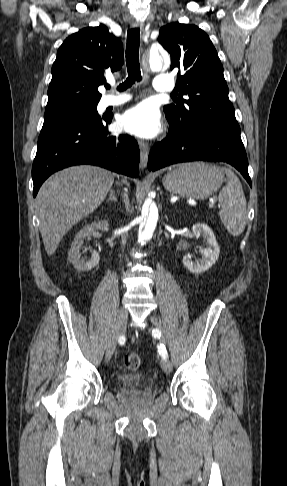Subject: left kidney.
Returning <instances> with one entry per match:
<instances>
[{
  "label": "left kidney",
  "instance_id": "left-kidney-1",
  "mask_svg": "<svg viewBox=\"0 0 287 486\" xmlns=\"http://www.w3.org/2000/svg\"><path fill=\"white\" fill-rule=\"evenodd\" d=\"M196 238L203 237L206 247L200 249L202 259L193 262L191 255H185L182 259L183 265L192 273L200 274L207 271L217 261L220 248L212 229L205 223H195L192 227Z\"/></svg>",
  "mask_w": 287,
  "mask_h": 486
}]
</instances>
